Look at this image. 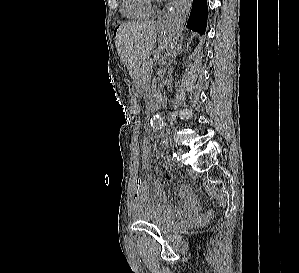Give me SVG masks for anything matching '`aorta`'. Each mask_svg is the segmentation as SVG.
Instances as JSON below:
<instances>
[{"label": "aorta", "mask_w": 299, "mask_h": 273, "mask_svg": "<svg viewBox=\"0 0 299 273\" xmlns=\"http://www.w3.org/2000/svg\"><path fill=\"white\" fill-rule=\"evenodd\" d=\"M191 3L192 0H173L170 5L164 38V48L167 55H171L175 50L184 29ZM150 124L153 129H161L162 120L158 114L153 115Z\"/></svg>", "instance_id": "1"}]
</instances>
